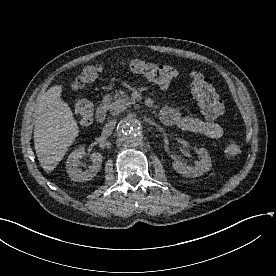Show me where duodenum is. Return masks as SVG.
I'll list each match as a JSON object with an SVG mask.
<instances>
[{"label": "duodenum", "instance_id": "duodenum-1", "mask_svg": "<svg viewBox=\"0 0 276 276\" xmlns=\"http://www.w3.org/2000/svg\"><path fill=\"white\" fill-rule=\"evenodd\" d=\"M107 108L105 104H101L97 107L95 112V118L98 122L102 123L106 120Z\"/></svg>", "mask_w": 276, "mask_h": 276}]
</instances>
